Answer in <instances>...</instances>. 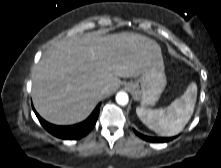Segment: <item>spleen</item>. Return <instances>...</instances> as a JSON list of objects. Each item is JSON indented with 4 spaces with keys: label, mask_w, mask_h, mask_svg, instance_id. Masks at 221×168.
I'll list each match as a JSON object with an SVG mask.
<instances>
[{
    "label": "spleen",
    "mask_w": 221,
    "mask_h": 168,
    "mask_svg": "<svg viewBox=\"0 0 221 168\" xmlns=\"http://www.w3.org/2000/svg\"><path fill=\"white\" fill-rule=\"evenodd\" d=\"M197 98V86L191 83L185 93L164 109L137 107L140 120L161 136H174L180 133L190 120Z\"/></svg>",
    "instance_id": "1"
}]
</instances>
